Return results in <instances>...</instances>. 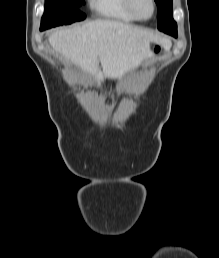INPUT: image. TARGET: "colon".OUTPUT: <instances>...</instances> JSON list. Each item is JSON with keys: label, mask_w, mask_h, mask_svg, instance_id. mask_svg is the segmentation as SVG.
<instances>
[{"label": "colon", "mask_w": 219, "mask_h": 258, "mask_svg": "<svg viewBox=\"0 0 219 258\" xmlns=\"http://www.w3.org/2000/svg\"><path fill=\"white\" fill-rule=\"evenodd\" d=\"M155 50H156V51H158V50H159V48H158V47H156V48H155Z\"/></svg>", "instance_id": "5ec220e1"}]
</instances>
